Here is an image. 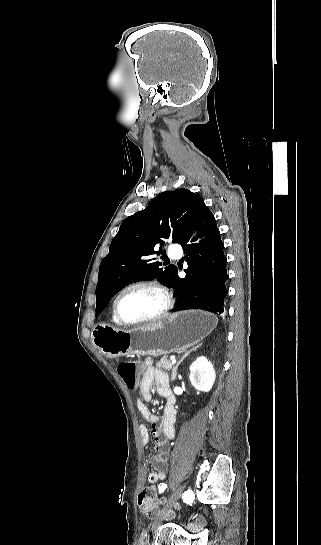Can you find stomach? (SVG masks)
<instances>
[{"mask_svg": "<svg viewBox=\"0 0 321 545\" xmlns=\"http://www.w3.org/2000/svg\"><path fill=\"white\" fill-rule=\"evenodd\" d=\"M217 323L215 315L203 311L172 313L161 321L130 331L114 329L107 323H98L92 331V343L106 357H160L196 345L215 329Z\"/></svg>", "mask_w": 321, "mask_h": 545, "instance_id": "0dacf381", "label": "stomach"}]
</instances>
